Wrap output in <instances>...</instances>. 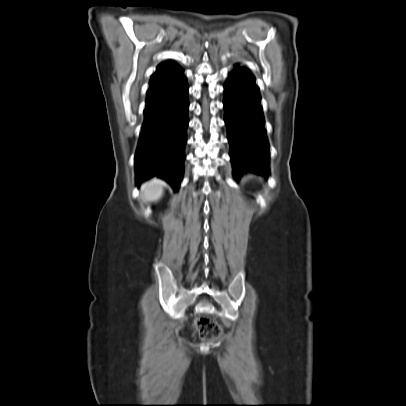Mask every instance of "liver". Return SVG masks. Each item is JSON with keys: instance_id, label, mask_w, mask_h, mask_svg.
Wrapping results in <instances>:
<instances>
[{"instance_id": "6515ba94", "label": "liver", "mask_w": 406, "mask_h": 406, "mask_svg": "<svg viewBox=\"0 0 406 406\" xmlns=\"http://www.w3.org/2000/svg\"><path fill=\"white\" fill-rule=\"evenodd\" d=\"M164 183L159 179L146 182L142 188V195L146 201H157L163 195Z\"/></svg>"}]
</instances>
